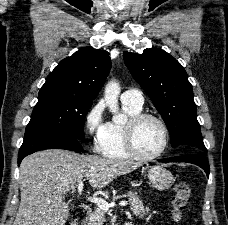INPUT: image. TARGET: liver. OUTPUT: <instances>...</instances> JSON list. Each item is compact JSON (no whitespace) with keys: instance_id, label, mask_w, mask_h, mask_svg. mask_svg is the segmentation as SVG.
<instances>
[{"instance_id":"6515ba94","label":"liver","mask_w":228,"mask_h":225,"mask_svg":"<svg viewBox=\"0 0 228 225\" xmlns=\"http://www.w3.org/2000/svg\"><path fill=\"white\" fill-rule=\"evenodd\" d=\"M140 167L134 161L77 155L47 149L28 155L19 169L21 203L13 225H66L69 209L63 195L75 191L84 177L93 189Z\"/></svg>"}]
</instances>
